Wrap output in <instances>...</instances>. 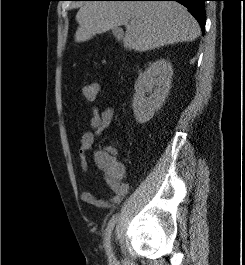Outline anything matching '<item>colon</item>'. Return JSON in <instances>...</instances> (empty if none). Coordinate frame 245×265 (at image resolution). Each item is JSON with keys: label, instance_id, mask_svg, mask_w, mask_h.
<instances>
[{"label": "colon", "instance_id": "obj_1", "mask_svg": "<svg viewBox=\"0 0 245 265\" xmlns=\"http://www.w3.org/2000/svg\"><path fill=\"white\" fill-rule=\"evenodd\" d=\"M82 94L88 101L96 100L99 94V84L96 82L86 84L82 89ZM99 163L101 170L104 172L114 176L122 173V165L109 155H101Z\"/></svg>", "mask_w": 245, "mask_h": 265}]
</instances>
